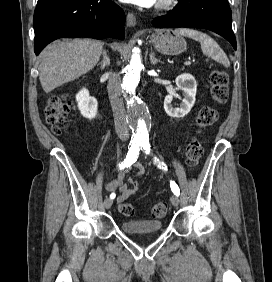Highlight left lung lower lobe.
Returning <instances> with one entry per match:
<instances>
[{
	"mask_svg": "<svg viewBox=\"0 0 272 282\" xmlns=\"http://www.w3.org/2000/svg\"><path fill=\"white\" fill-rule=\"evenodd\" d=\"M152 23L158 28L208 29L227 39L235 50L237 48L227 0H179L174 13L157 17Z\"/></svg>",
	"mask_w": 272,
	"mask_h": 282,
	"instance_id": "left-lung-lower-lobe-1",
	"label": "left lung lower lobe"
}]
</instances>
